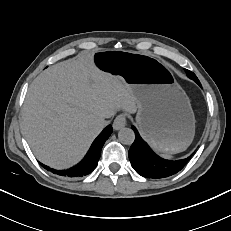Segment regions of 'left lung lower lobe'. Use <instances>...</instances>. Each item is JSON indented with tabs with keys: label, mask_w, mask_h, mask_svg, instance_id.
Returning <instances> with one entry per match:
<instances>
[{
	"label": "left lung lower lobe",
	"mask_w": 231,
	"mask_h": 231,
	"mask_svg": "<svg viewBox=\"0 0 231 231\" xmlns=\"http://www.w3.org/2000/svg\"><path fill=\"white\" fill-rule=\"evenodd\" d=\"M135 131V141L129 150V159L135 171L146 178H164L179 172L192 157L172 161L165 160L156 155L148 144L140 137L137 129Z\"/></svg>",
	"instance_id": "1"
}]
</instances>
